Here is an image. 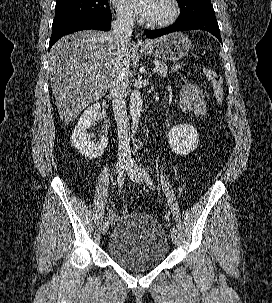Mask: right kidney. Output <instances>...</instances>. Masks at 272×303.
<instances>
[{"instance_id":"obj_1","label":"right kidney","mask_w":272,"mask_h":303,"mask_svg":"<svg viewBox=\"0 0 272 303\" xmlns=\"http://www.w3.org/2000/svg\"><path fill=\"white\" fill-rule=\"evenodd\" d=\"M101 115V106L94 103L81 115L70 138L71 144L85 157L93 159L100 157L107 148L108 139L102 137L97 143L92 140L89 130Z\"/></svg>"}]
</instances>
